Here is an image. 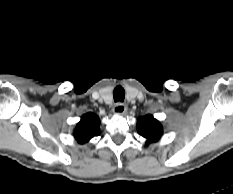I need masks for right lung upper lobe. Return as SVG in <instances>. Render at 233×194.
<instances>
[{
    "instance_id": "right-lung-upper-lobe-1",
    "label": "right lung upper lobe",
    "mask_w": 233,
    "mask_h": 194,
    "mask_svg": "<svg viewBox=\"0 0 233 194\" xmlns=\"http://www.w3.org/2000/svg\"><path fill=\"white\" fill-rule=\"evenodd\" d=\"M99 117L93 113H87L81 117L74 132L79 143L88 142L94 136L100 135Z\"/></svg>"
}]
</instances>
